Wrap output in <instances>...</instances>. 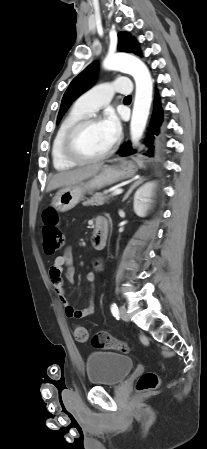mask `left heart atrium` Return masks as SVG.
<instances>
[{
  "mask_svg": "<svg viewBox=\"0 0 207 449\" xmlns=\"http://www.w3.org/2000/svg\"><path fill=\"white\" fill-rule=\"evenodd\" d=\"M101 125L107 133L111 143H114L121 133V125L118 117L110 112L102 120Z\"/></svg>",
  "mask_w": 207,
  "mask_h": 449,
  "instance_id": "obj_1",
  "label": "left heart atrium"
}]
</instances>
